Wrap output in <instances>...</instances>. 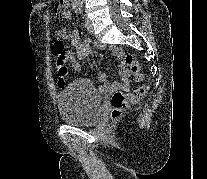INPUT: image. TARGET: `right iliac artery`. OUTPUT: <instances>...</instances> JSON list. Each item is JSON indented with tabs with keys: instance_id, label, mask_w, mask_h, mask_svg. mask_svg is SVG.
I'll return each mask as SVG.
<instances>
[{
	"instance_id": "82829eb1",
	"label": "right iliac artery",
	"mask_w": 207,
	"mask_h": 179,
	"mask_svg": "<svg viewBox=\"0 0 207 179\" xmlns=\"http://www.w3.org/2000/svg\"><path fill=\"white\" fill-rule=\"evenodd\" d=\"M80 9H81V8H80L79 6H74V10H75V12L78 13V12L80 11Z\"/></svg>"
}]
</instances>
